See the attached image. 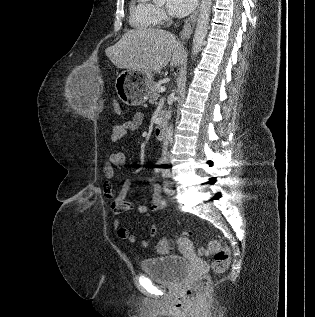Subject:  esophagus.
I'll return each mask as SVG.
<instances>
[{
  "label": "esophagus",
  "instance_id": "34e87169",
  "mask_svg": "<svg viewBox=\"0 0 315 317\" xmlns=\"http://www.w3.org/2000/svg\"><path fill=\"white\" fill-rule=\"evenodd\" d=\"M200 4V2H199ZM199 4L196 8V10L186 19L185 24L183 26V29L181 31V38L183 40H186L188 38H190L193 29L195 27V23L198 17V13H199Z\"/></svg>",
  "mask_w": 315,
  "mask_h": 317
}]
</instances>
